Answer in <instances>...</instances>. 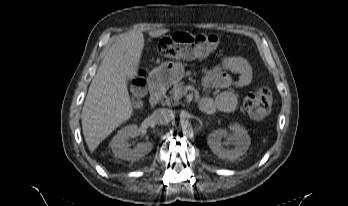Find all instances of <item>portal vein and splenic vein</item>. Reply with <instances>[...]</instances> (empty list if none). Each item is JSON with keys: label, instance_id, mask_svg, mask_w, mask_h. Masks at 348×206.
Returning <instances> with one entry per match:
<instances>
[{"label": "portal vein and splenic vein", "instance_id": "1", "mask_svg": "<svg viewBox=\"0 0 348 206\" xmlns=\"http://www.w3.org/2000/svg\"><path fill=\"white\" fill-rule=\"evenodd\" d=\"M175 97H176L177 99H179V98H180V93L177 92L176 95H175Z\"/></svg>", "mask_w": 348, "mask_h": 206}]
</instances>
